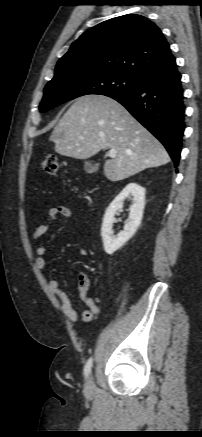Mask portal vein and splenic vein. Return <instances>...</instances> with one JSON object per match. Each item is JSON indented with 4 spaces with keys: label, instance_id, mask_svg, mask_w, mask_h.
<instances>
[{
    "label": "portal vein and splenic vein",
    "instance_id": "18ae733b",
    "mask_svg": "<svg viewBox=\"0 0 202 437\" xmlns=\"http://www.w3.org/2000/svg\"><path fill=\"white\" fill-rule=\"evenodd\" d=\"M108 156L110 158H114L116 156V151L114 149L109 150Z\"/></svg>",
    "mask_w": 202,
    "mask_h": 437
}]
</instances>
